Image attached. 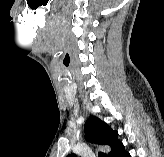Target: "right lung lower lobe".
Instances as JSON below:
<instances>
[{
	"instance_id": "obj_1",
	"label": "right lung lower lobe",
	"mask_w": 164,
	"mask_h": 157,
	"mask_svg": "<svg viewBox=\"0 0 164 157\" xmlns=\"http://www.w3.org/2000/svg\"><path fill=\"white\" fill-rule=\"evenodd\" d=\"M112 157H131V155L128 152H126V150L124 149V145L121 143L115 150Z\"/></svg>"
}]
</instances>
